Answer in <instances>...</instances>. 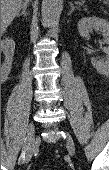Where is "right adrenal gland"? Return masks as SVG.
<instances>
[{
  "instance_id": "2a0ac1e0",
  "label": "right adrenal gland",
  "mask_w": 109,
  "mask_h": 170,
  "mask_svg": "<svg viewBox=\"0 0 109 170\" xmlns=\"http://www.w3.org/2000/svg\"><path fill=\"white\" fill-rule=\"evenodd\" d=\"M21 9H22V11L19 14H17V17H20L22 15L27 16V12H26V10H27V2L23 3Z\"/></svg>"
}]
</instances>
